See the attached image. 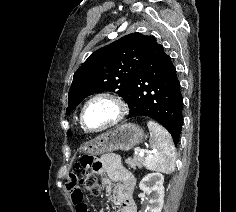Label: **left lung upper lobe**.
<instances>
[{"label": "left lung upper lobe", "instance_id": "5c2ea615", "mask_svg": "<svg viewBox=\"0 0 236 212\" xmlns=\"http://www.w3.org/2000/svg\"><path fill=\"white\" fill-rule=\"evenodd\" d=\"M150 38L141 33H131L92 53L74 73L66 114L84 98L97 92H115L125 100Z\"/></svg>", "mask_w": 236, "mask_h": 212}]
</instances>
